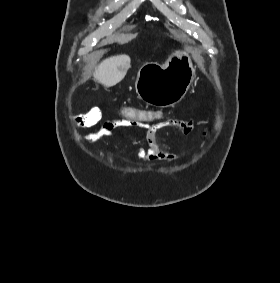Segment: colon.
Instances as JSON below:
<instances>
[{
  "label": "colon",
  "instance_id": "colon-1",
  "mask_svg": "<svg viewBox=\"0 0 280 283\" xmlns=\"http://www.w3.org/2000/svg\"><path fill=\"white\" fill-rule=\"evenodd\" d=\"M118 118L122 122H144L145 125H153L160 119H167L168 115L164 108H146L138 105L117 108Z\"/></svg>",
  "mask_w": 280,
  "mask_h": 283
}]
</instances>
